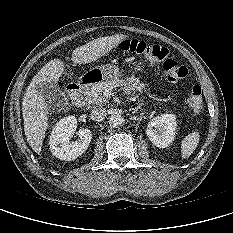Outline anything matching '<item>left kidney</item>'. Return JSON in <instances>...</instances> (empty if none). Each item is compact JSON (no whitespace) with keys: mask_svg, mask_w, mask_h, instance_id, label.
<instances>
[{"mask_svg":"<svg viewBox=\"0 0 233 233\" xmlns=\"http://www.w3.org/2000/svg\"><path fill=\"white\" fill-rule=\"evenodd\" d=\"M176 117L173 114H162L151 119L147 125L146 134L157 147L166 148L175 139Z\"/></svg>","mask_w":233,"mask_h":233,"instance_id":"obj_1","label":"left kidney"}]
</instances>
